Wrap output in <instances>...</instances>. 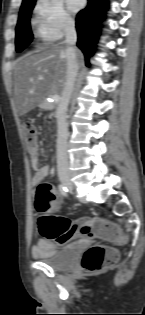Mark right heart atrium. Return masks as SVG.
Wrapping results in <instances>:
<instances>
[{"mask_svg": "<svg viewBox=\"0 0 145 315\" xmlns=\"http://www.w3.org/2000/svg\"><path fill=\"white\" fill-rule=\"evenodd\" d=\"M34 14L35 22L44 38L59 40L74 30V20L61 0H38Z\"/></svg>", "mask_w": 145, "mask_h": 315, "instance_id": "1", "label": "right heart atrium"}]
</instances>
